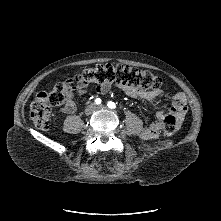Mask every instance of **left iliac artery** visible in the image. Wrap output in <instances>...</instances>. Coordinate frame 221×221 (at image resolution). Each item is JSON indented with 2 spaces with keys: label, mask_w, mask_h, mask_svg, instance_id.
I'll return each mask as SVG.
<instances>
[{
  "label": "left iliac artery",
  "mask_w": 221,
  "mask_h": 221,
  "mask_svg": "<svg viewBox=\"0 0 221 221\" xmlns=\"http://www.w3.org/2000/svg\"><path fill=\"white\" fill-rule=\"evenodd\" d=\"M107 106H108L109 108H111V109H113V108L116 107L115 103H114V102H111V101L107 103Z\"/></svg>",
  "instance_id": "1"
}]
</instances>
